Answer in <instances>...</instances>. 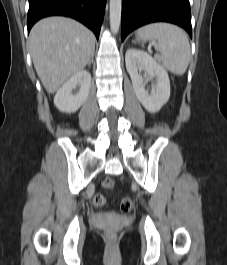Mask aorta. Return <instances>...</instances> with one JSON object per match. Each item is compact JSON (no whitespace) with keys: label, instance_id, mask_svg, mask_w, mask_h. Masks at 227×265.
<instances>
[{"label":"aorta","instance_id":"1","mask_svg":"<svg viewBox=\"0 0 227 265\" xmlns=\"http://www.w3.org/2000/svg\"><path fill=\"white\" fill-rule=\"evenodd\" d=\"M122 0H110V29L117 34L121 22Z\"/></svg>","mask_w":227,"mask_h":265}]
</instances>
